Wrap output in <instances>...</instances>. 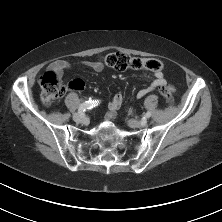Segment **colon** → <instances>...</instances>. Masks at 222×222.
<instances>
[{
	"instance_id": "1",
	"label": "colon",
	"mask_w": 222,
	"mask_h": 222,
	"mask_svg": "<svg viewBox=\"0 0 222 222\" xmlns=\"http://www.w3.org/2000/svg\"><path fill=\"white\" fill-rule=\"evenodd\" d=\"M102 63L116 70L124 71L146 70L147 72H157L162 69V64L155 58H140L131 57L119 52H112L102 57ZM41 100L43 104L49 106L60 98L68 89V84L65 83L61 76L54 72H46L40 79ZM160 93L165 97L168 103L173 101L171 91L168 87L162 86L159 88Z\"/></svg>"
}]
</instances>
